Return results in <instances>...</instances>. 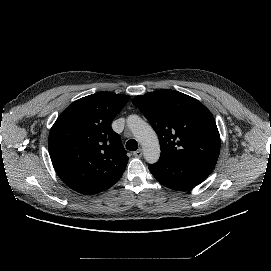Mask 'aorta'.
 Returning a JSON list of instances; mask_svg holds the SVG:
<instances>
[{"mask_svg": "<svg viewBox=\"0 0 271 271\" xmlns=\"http://www.w3.org/2000/svg\"><path fill=\"white\" fill-rule=\"evenodd\" d=\"M127 124L144 149L145 159L149 163L156 162L160 156V147L157 135L151 126L137 115H130L127 119Z\"/></svg>", "mask_w": 271, "mask_h": 271, "instance_id": "1", "label": "aorta"}]
</instances>
